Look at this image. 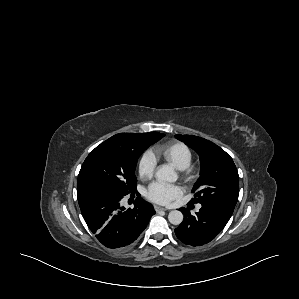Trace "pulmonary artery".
<instances>
[{"label": "pulmonary artery", "mask_w": 299, "mask_h": 299, "mask_svg": "<svg viewBox=\"0 0 299 299\" xmlns=\"http://www.w3.org/2000/svg\"><path fill=\"white\" fill-rule=\"evenodd\" d=\"M200 208H201V205H198V206H197V210H199Z\"/></svg>", "instance_id": "1"}]
</instances>
